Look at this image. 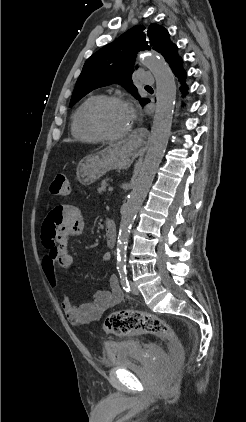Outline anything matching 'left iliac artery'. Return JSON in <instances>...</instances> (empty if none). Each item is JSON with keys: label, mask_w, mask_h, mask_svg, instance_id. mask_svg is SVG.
Wrapping results in <instances>:
<instances>
[{"label": "left iliac artery", "mask_w": 246, "mask_h": 422, "mask_svg": "<svg viewBox=\"0 0 246 422\" xmlns=\"http://www.w3.org/2000/svg\"><path fill=\"white\" fill-rule=\"evenodd\" d=\"M119 275L121 279V285L126 292H130V285L127 278V271L126 269L119 270Z\"/></svg>", "instance_id": "1"}]
</instances>
